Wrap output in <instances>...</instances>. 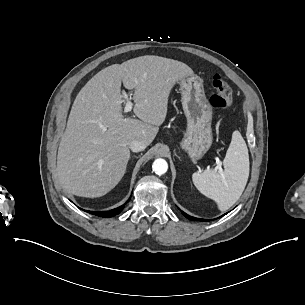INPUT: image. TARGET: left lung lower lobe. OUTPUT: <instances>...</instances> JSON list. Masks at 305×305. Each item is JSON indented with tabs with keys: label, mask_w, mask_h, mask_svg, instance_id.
Wrapping results in <instances>:
<instances>
[{
	"label": "left lung lower lobe",
	"mask_w": 305,
	"mask_h": 305,
	"mask_svg": "<svg viewBox=\"0 0 305 305\" xmlns=\"http://www.w3.org/2000/svg\"><path fill=\"white\" fill-rule=\"evenodd\" d=\"M181 212H182V214H183L186 218H188L189 220H192V221H207V220H205V219H198V218L192 217V216H190V215H187V214L184 213L183 211H181Z\"/></svg>",
	"instance_id": "1"
}]
</instances>
